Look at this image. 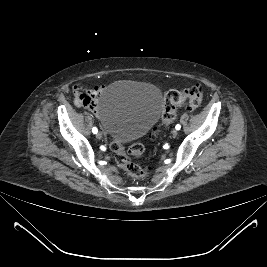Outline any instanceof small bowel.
<instances>
[{
    "label": "small bowel",
    "mask_w": 267,
    "mask_h": 267,
    "mask_svg": "<svg viewBox=\"0 0 267 267\" xmlns=\"http://www.w3.org/2000/svg\"><path fill=\"white\" fill-rule=\"evenodd\" d=\"M102 91L101 86H94L90 89H84L81 86L75 87V102L79 106H83L89 110L96 111V98Z\"/></svg>",
    "instance_id": "c3829d8e"
}]
</instances>
